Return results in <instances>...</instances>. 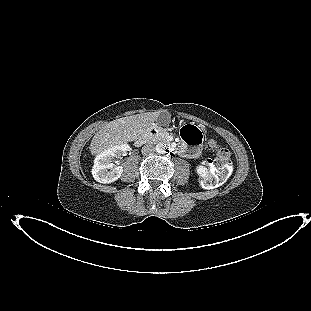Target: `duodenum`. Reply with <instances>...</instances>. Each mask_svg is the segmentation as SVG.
<instances>
[{
  "instance_id": "1",
  "label": "duodenum",
  "mask_w": 311,
  "mask_h": 311,
  "mask_svg": "<svg viewBox=\"0 0 311 311\" xmlns=\"http://www.w3.org/2000/svg\"><path fill=\"white\" fill-rule=\"evenodd\" d=\"M157 138H165V136L161 133V131L158 128L151 127L149 129H147V131L141 137H139L138 139L135 140V145L141 146L144 143L148 142L149 140L157 139ZM167 142H168V140H167ZM170 149H171V152L176 151V148H174V147H171Z\"/></svg>"
}]
</instances>
